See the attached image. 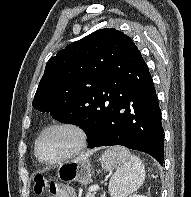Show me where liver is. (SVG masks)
<instances>
[{"instance_id":"1","label":"liver","mask_w":191,"mask_h":197,"mask_svg":"<svg viewBox=\"0 0 191 197\" xmlns=\"http://www.w3.org/2000/svg\"><path fill=\"white\" fill-rule=\"evenodd\" d=\"M88 156H89V155L86 154V155H82L80 158H81V159H84V158H88Z\"/></svg>"}]
</instances>
